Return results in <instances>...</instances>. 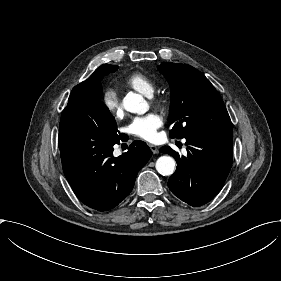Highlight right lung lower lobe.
Segmentation results:
<instances>
[{
  "label": "right lung lower lobe",
  "instance_id": "1",
  "mask_svg": "<svg viewBox=\"0 0 281 281\" xmlns=\"http://www.w3.org/2000/svg\"><path fill=\"white\" fill-rule=\"evenodd\" d=\"M100 92L95 85L73 88L61 116L58 145L64 175L76 196L90 208L107 211L130 194L152 152L136 140L127 152L113 156V146L125 138L117 134Z\"/></svg>",
  "mask_w": 281,
  "mask_h": 281
}]
</instances>
